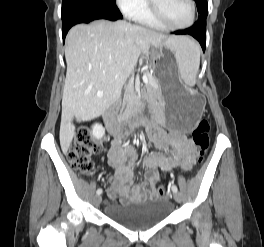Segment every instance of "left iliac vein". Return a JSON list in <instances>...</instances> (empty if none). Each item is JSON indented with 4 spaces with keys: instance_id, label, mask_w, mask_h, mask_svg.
<instances>
[{
    "instance_id": "obj_1",
    "label": "left iliac vein",
    "mask_w": 264,
    "mask_h": 247,
    "mask_svg": "<svg viewBox=\"0 0 264 247\" xmlns=\"http://www.w3.org/2000/svg\"><path fill=\"white\" fill-rule=\"evenodd\" d=\"M174 199H175V201H177V202H181V201H182V195H181V193H179V192H174Z\"/></svg>"
}]
</instances>
